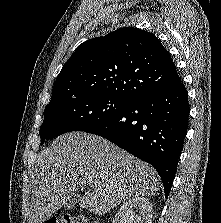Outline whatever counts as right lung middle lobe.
<instances>
[{"label":"right lung middle lobe","mask_w":221,"mask_h":223,"mask_svg":"<svg viewBox=\"0 0 221 223\" xmlns=\"http://www.w3.org/2000/svg\"><path fill=\"white\" fill-rule=\"evenodd\" d=\"M132 100L107 95H81L46 106L39 134L41 145L71 131H85L123 112Z\"/></svg>","instance_id":"1"}]
</instances>
